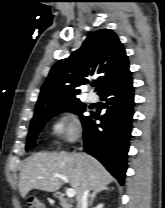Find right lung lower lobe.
<instances>
[{"mask_svg": "<svg viewBox=\"0 0 165 208\" xmlns=\"http://www.w3.org/2000/svg\"><path fill=\"white\" fill-rule=\"evenodd\" d=\"M134 88L131 72L121 80L104 89L99 95L106 101V113L98 119V125L91 117L83 122L84 150L97 158L120 182L124 183L127 169V153L131 137L134 106Z\"/></svg>", "mask_w": 165, "mask_h": 208, "instance_id": "98d812e1", "label": "right lung lower lobe"}]
</instances>
